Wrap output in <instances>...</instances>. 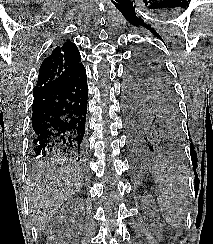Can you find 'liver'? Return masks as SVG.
Returning a JSON list of instances; mask_svg holds the SVG:
<instances>
[{"mask_svg": "<svg viewBox=\"0 0 213 244\" xmlns=\"http://www.w3.org/2000/svg\"><path fill=\"white\" fill-rule=\"evenodd\" d=\"M83 173L64 159H51L38 165L28 177V201L33 222L45 230L56 210L78 193Z\"/></svg>", "mask_w": 213, "mask_h": 244, "instance_id": "obj_1", "label": "liver"}]
</instances>
